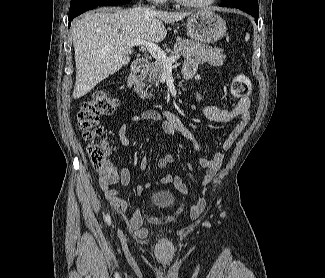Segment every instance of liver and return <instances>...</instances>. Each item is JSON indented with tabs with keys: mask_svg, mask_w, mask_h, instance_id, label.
<instances>
[{
	"mask_svg": "<svg viewBox=\"0 0 325 278\" xmlns=\"http://www.w3.org/2000/svg\"><path fill=\"white\" fill-rule=\"evenodd\" d=\"M190 14L139 6L102 8L80 17L72 31L77 70L73 98L83 97L127 65L133 53L134 46L129 47L132 40L161 42L167 34L163 22L180 21Z\"/></svg>",
	"mask_w": 325,
	"mask_h": 278,
	"instance_id": "liver-1",
	"label": "liver"
}]
</instances>
